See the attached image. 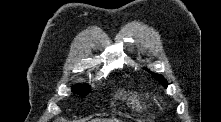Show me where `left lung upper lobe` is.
<instances>
[{
  "mask_svg": "<svg viewBox=\"0 0 221 122\" xmlns=\"http://www.w3.org/2000/svg\"><path fill=\"white\" fill-rule=\"evenodd\" d=\"M147 71H149L148 69H146ZM150 72V71H149ZM151 73V72H150ZM152 75L155 77V79L157 81H159L164 87H167V82L164 79V77H162L160 74H153Z\"/></svg>",
  "mask_w": 221,
  "mask_h": 122,
  "instance_id": "obj_1",
  "label": "left lung upper lobe"
}]
</instances>
